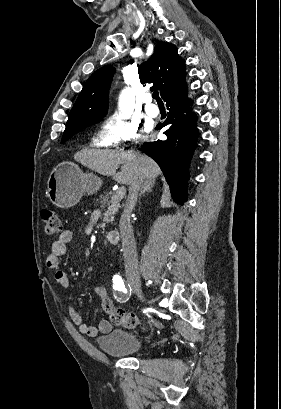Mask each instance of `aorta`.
<instances>
[{
	"instance_id": "aorta-1",
	"label": "aorta",
	"mask_w": 281,
	"mask_h": 409,
	"mask_svg": "<svg viewBox=\"0 0 281 409\" xmlns=\"http://www.w3.org/2000/svg\"><path fill=\"white\" fill-rule=\"evenodd\" d=\"M130 104H131V95L129 91H124L122 94V98L120 101V108L123 112H129L130 111Z\"/></svg>"
}]
</instances>
